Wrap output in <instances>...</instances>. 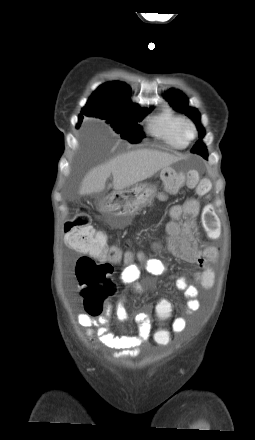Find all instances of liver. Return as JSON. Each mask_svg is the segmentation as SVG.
Wrapping results in <instances>:
<instances>
[{
  "mask_svg": "<svg viewBox=\"0 0 255 440\" xmlns=\"http://www.w3.org/2000/svg\"><path fill=\"white\" fill-rule=\"evenodd\" d=\"M179 160L178 156L150 149H140L119 155L89 171L81 183L79 194L89 195L102 192L111 174L113 189L124 190L152 177L160 169Z\"/></svg>",
  "mask_w": 255,
  "mask_h": 440,
  "instance_id": "6515ba94",
  "label": "liver"
}]
</instances>
